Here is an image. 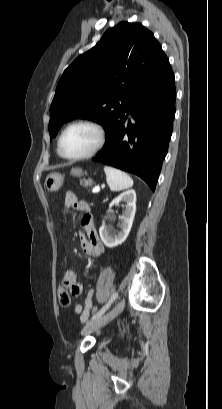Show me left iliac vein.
<instances>
[{"label": "left iliac vein", "instance_id": "4c4485c4", "mask_svg": "<svg viewBox=\"0 0 222 409\" xmlns=\"http://www.w3.org/2000/svg\"><path fill=\"white\" fill-rule=\"evenodd\" d=\"M125 307V301L120 300L109 312L104 314L103 316L91 321L88 323L82 330V334L86 335L89 334L103 326L107 323L112 321L116 316H118Z\"/></svg>", "mask_w": 222, "mask_h": 409}]
</instances>
